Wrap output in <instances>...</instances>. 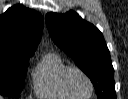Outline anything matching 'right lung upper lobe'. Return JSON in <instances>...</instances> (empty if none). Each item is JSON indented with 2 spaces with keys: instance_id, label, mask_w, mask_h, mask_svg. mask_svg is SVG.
<instances>
[{
  "instance_id": "cb5924a9",
  "label": "right lung upper lobe",
  "mask_w": 128,
  "mask_h": 99,
  "mask_svg": "<svg viewBox=\"0 0 128 99\" xmlns=\"http://www.w3.org/2000/svg\"><path fill=\"white\" fill-rule=\"evenodd\" d=\"M44 20L35 10L15 5L0 15V53L33 55Z\"/></svg>"
}]
</instances>
